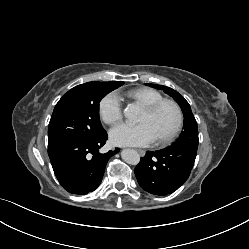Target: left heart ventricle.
Here are the masks:
<instances>
[{"label":"left heart ventricle","mask_w":249,"mask_h":249,"mask_svg":"<svg viewBox=\"0 0 249 249\" xmlns=\"http://www.w3.org/2000/svg\"><path fill=\"white\" fill-rule=\"evenodd\" d=\"M176 121V113L171 106H163L157 112L150 114L142 110L138 122L150 125L156 139L171 131Z\"/></svg>","instance_id":"left-heart-ventricle-1"}]
</instances>
